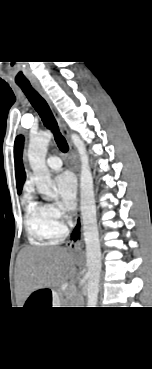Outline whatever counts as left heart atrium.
<instances>
[{
  "label": "left heart atrium",
  "mask_w": 152,
  "mask_h": 369,
  "mask_svg": "<svg viewBox=\"0 0 152 369\" xmlns=\"http://www.w3.org/2000/svg\"><path fill=\"white\" fill-rule=\"evenodd\" d=\"M55 186L60 196V206L67 211L76 205V181L70 172H64L55 178Z\"/></svg>",
  "instance_id": "1"
}]
</instances>
